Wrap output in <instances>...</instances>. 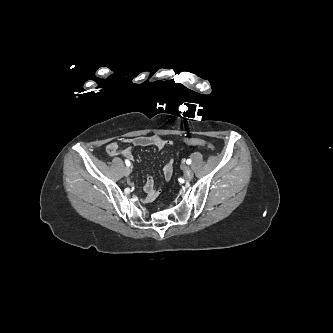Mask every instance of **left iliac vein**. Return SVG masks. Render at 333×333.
Instances as JSON below:
<instances>
[{
	"label": "left iliac vein",
	"mask_w": 333,
	"mask_h": 333,
	"mask_svg": "<svg viewBox=\"0 0 333 333\" xmlns=\"http://www.w3.org/2000/svg\"><path fill=\"white\" fill-rule=\"evenodd\" d=\"M183 171H184V177H185V179L187 181L192 180V178H193V172H192V170L189 167H187V166H183Z\"/></svg>",
	"instance_id": "obj_1"
}]
</instances>
